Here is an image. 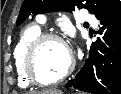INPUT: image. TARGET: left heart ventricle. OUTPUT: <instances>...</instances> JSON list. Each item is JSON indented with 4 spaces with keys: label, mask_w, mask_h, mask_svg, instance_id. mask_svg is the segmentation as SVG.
I'll return each instance as SVG.
<instances>
[{
    "label": "left heart ventricle",
    "mask_w": 121,
    "mask_h": 94,
    "mask_svg": "<svg viewBox=\"0 0 121 94\" xmlns=\"http://www.w3.org/2000/svg\"><path fill=\"white\" fill-rule=\"evenodd\" d=\"M69 60L65 46L57 41H46L36 52L34 70L39 79L52 81L64 72Z\"/></svg>",
    "instance_id": "obj_1"
}]
</instances>
